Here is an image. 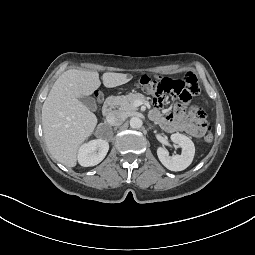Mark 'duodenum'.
I'll return each mask as SVG.
<instances>
[{"instance_id": "1", "label": "duodenum", "mask_w": 255, "mask_h": 255, "mask_svg": "<svg viewBox=\"0 0 255 255\" xmlns=\"http://www.w3.org/2000/svg\"><path fill=\"white\" fill-rule=\"evenodd\" d=\"M114 106H115V99L113 97H108L105 101H104V104H103V107H102V113L104 116H109L113 109H114Z\"/></svg>"}]
</instances>
